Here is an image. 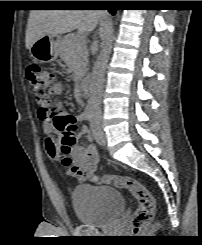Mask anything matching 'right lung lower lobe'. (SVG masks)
Wrapping results in <instances>:
<instances>
[{
	"label": "right lung lower lobe",
	"mask_w": 202,
	"mask_h": 245,
	"mask_svg": "<svg viewBox=\"0 0 202 245\" xmlns=\"http://www.w3.org/2000/svg\"><path fill=\"white\" fill-rule=\"evenodd\" d=\"M107 7H109L108 11L111 13V14H114L115 13V8L113 5H106Z\"/></svg>",
	"instance_id": "obj_1"
}]
</instances>
